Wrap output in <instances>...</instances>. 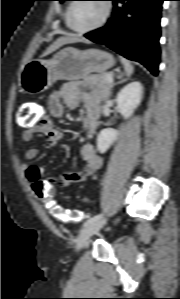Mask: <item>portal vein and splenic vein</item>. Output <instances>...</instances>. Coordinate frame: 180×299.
Here are the masks:
<instances>
[{"label": "portal vein and splenic vein", "mask_w": 180, "mask_h": 299, "mask_svg": "<svg viewBox=\"0 0 180 299\" xmlns=\"http://www.w3.org/2000/svg\"><path fill=\"white\" fill-rule=\"evenodd\" d=\"M107 81H108V82H113V75H112V74H109V75L107 76Z\"/></svg>", "instance_id": "1"}]
</instances>
